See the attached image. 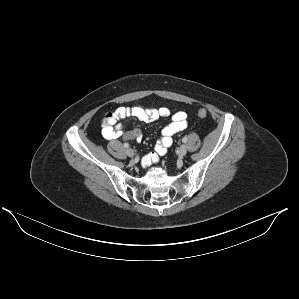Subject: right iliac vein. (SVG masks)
Masks as SVG:
<instances>
[{
  "label": "right iliac vein",
  "instance_id": "right-iliac-vein-1",
  "mask_svg": "<svg viewBox=\"0 0 299 299\" xmlns=\"http://www.w3.org/2000/svg\"><path fill=\"white\" fill-rule=\"evenodd\" d=\"M126 153H127V155L129 156V157H134V155H135V152H134V150L133 149H131V148H128L127 150H126Z\"/></svg>",
  "mask_w": 299,
  "mask_h": 299
}]
</instances>
